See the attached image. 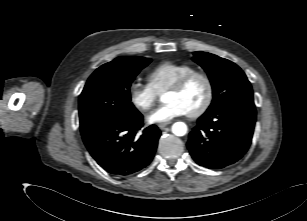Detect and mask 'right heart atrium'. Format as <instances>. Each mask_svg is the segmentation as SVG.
<instances>
[{"label":"right heart atrium","mask_w":307,"mask_h":221,"mask_svg":"<svg viewBox=\"0 0 307 221\" xmlns=\"http://www.w3.org/2000/svg\"><path fill=\"white\" fill-rule=\"evenodd\" d=\"M129 99L136 109L148 111L154 106L157 93L149 84L133 82L129 87Z\"/></svg>","instance_id":"right-heart-atrium-1"}]
</instances>
